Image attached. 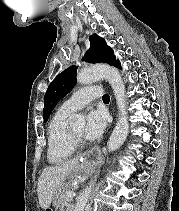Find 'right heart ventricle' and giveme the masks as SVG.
I'll list each match as a JSON object with an SVG mask.
<instances>
[{"mask_svg":"<svg viewBox=\"0 0 179 211\" xmlns=\"http://www.w3.org/2000/svg\"><path fill=\"white\" fill-rule=\"evenodd\" d=\"M71 113L59 108L47 127V159L53 165L68 161L75 153L70 138L68 119Z\"/></svg>","mask_w":179,"mask_h":211,"instance_id":"e07e8e85","label":"right heart ventricle"}]
</instances>
